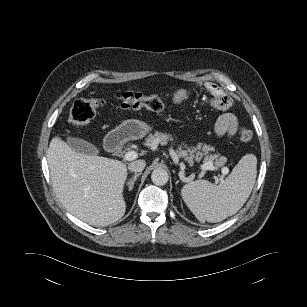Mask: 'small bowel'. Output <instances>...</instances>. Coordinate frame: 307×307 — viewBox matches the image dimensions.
Here are the masks:
<instances>
[{
  "instance_id": "obj_1",
  "label": "small bowel",
  "mask_w": 307,
  "mask_h": 307,
  "mask_svg": "<svg viewBox=\"0 0 307 307\" xmlns=\"http://www.w3.org/2000/svg\"><path fill=\"white\" fill-rule=\"evenodd\" d=\"M198 86L206 90L210 97L207 102L210 106L218 110H227L231 105V99L222 91V89L209 81H202L198 83ZM191 90L189 88H179L173 95V103L179 105L185 102L190 96ZM238 121L234 114L224 113L222 114L214 127V133L217 137H232L237 130Z\"/></svg>"
}]
</instances>
